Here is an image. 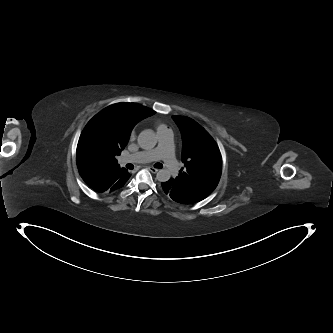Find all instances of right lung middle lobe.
I'll use <instances>...</instances> for the list:
<instances>
[{
  "label": "right lung middle lobe",
  "mask_w": 333,
  "mask_h": 333,
  "mask_svg": "<svg viewBox=\"0 0 333 333\" xmlns=\"http://www.w3.org/2000/svg\"><path fill=\"white\" fill-rule=\"evenodd\" d=\"M128 143L117 123L102 111L85 126L77 146L79 173L96 171L102 165L117 162L116 156Z\"/></svg>",
  "instance_id": "right-lung-middle-lobe-1"
}]
</instances>
